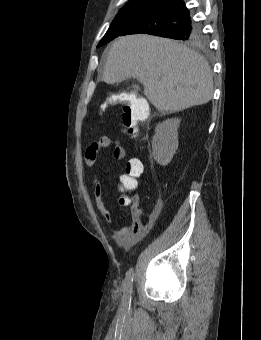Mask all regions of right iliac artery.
Listing matches in <instances>:
<instances>
[{"mask_svg":"<svg viewBox=\"0 0 261 340\" xmlns=\"http://www.w3.org/2000/svg\"><path fill=\"white\" fill-rule=\"evenodd\" d=\"M132 282H133V269L130 268L125 277L124 282V299H123V306L126 309H129L131 304V294H132Z\"/></svg>","mask_w":261,"mask_h":340,"instance_id":"1","label":"right iliac artery"}]
</instances>
